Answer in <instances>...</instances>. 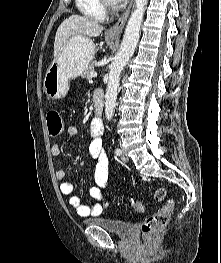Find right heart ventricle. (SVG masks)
I'll use <instances>...</instances> for the list:
<instances>
[{
  "label": "right heart ventricle",
  "mask_w": 221,
  "mask_h": 263,
  "mask_svg": "<svg viewBox=\"0 0 221 263\" xmlns=\"http://www.w3.org/2000/svg\"><path fill=\"white\" fill-rule=\"evenodd\" d=\"M75 1L78 10L85 17L95 21H103L106 18V9L100 0Z\"/></svg>",
  "instance_id": "right-heart-ventricle-1"
}]
</instances>
